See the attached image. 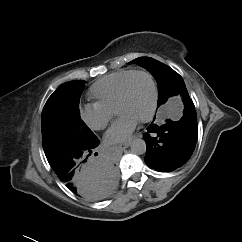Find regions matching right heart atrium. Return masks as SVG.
<instances>
[{
	"label": "right heart atrium",
	"instance_id": "d8ad5b80",
	"mask_svg": "<svg viewBox=\"0 0 242 242\" xmlns=\"http://www.w3.org/2000/svg\"><path fill=\"white\" fill-rule=\"evenodd\" d=\"M82 122L92 130H102L111 121L114 112L98 103H86L79 107Z\"/></svg>",
	"mask_w": 242,
	"mask_h": 242
}]
</instances>
